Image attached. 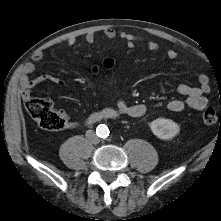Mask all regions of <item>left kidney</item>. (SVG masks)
<instances>
[{
	"mask_svg": "<svg viewBox=\"0 0 221 221\" xmlns=\"http://www.w3.org/2000/svg\"><path fill=\"white\" fill-rule=\"evenodd\" d=\"M153 134L162 140H170L175 137L180 127L177 123L166 118H157L150 123Z\"/></svg>",
	"mask_w": 221,
	"mask_h": 221,
	"instance_id": "1",
	"label": "left kidney"
}]
</instances>
